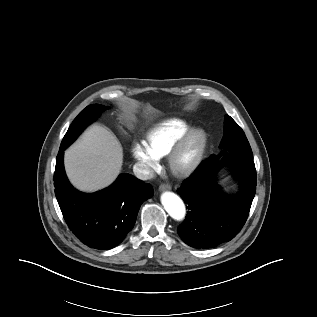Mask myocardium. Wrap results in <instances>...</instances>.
<instances>
[{"instance_id": "1", "label": "myocardium", "mask_w": 317, "mask_h": 317, "mask_svg": "<svg viewBox=\"0 0 317 317\" xmlns=\"http://www.w3.org/2000/svg\"><path fill=\"white\" fill-rule=\"evenodd\" d=\"M206 146L207 136L203 130H188L169 153L171 171L179 177L190 175L202 161Z\"/></svg>"}]
</instances>
